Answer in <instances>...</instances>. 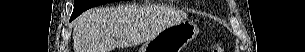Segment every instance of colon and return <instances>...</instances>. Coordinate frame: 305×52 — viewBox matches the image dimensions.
<instances>
[{
    "mask_svg": "<svg viewBox=\"0 0 305 52\" xmlns=\"http://www.w3.org/2000/svg\"><path fill=\"white\" fill-rule=\"evenodd\" d=\"M221 48L219 46H216L215 49H214V52H221Z\"/></svg>",
    "mask_w": 305,
    "mask_h": 52,
    "instance_id": "1",
    "label": "colon"
}]
</instances>
